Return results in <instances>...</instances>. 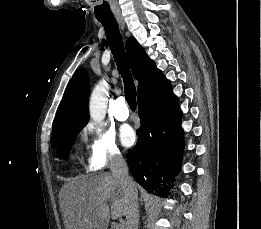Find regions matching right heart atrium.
<instances>
[{
	"instance_id": "d8ad5b80",
	"label": "right heart atrium",
	"mask_w": 261,
	"mask_h": 229,
	"mask_svg": "<svg viewBox=\"0 0 261 229\" xmlns=\"http://www.w3.org/2000/svg\"><path fill=\"white\" fill-rule=\"evenodd\" d=\"M88 132L93 135L87 159L89 170L98 171L122 160L121 151L112 136L95 125L90 126Z\"/></svg>"
}]
</instances>
